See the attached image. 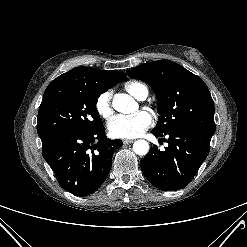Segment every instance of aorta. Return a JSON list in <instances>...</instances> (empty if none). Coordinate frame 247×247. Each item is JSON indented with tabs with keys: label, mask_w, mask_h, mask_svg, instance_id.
<instances>
[{
	"label": "aorta",
	"mask_w": 247,
	"mask_h": 247,
	"mask_svg": "<svg viewBox=\"0 0 247 247\" xmlns=\"http://www.w3.org/2000/svg\"><path fill=\"white\" fill-rule=\"evenodd\" d=\"M113 108L121 113L129 114L137 110V103L134 99L127 94L115 95L113 102ZM133 151L138 155H146L149 151V144L146 140H137L133 144Z\"/></svg>",
	"instance_id": "762f6f07"
}]
</instances>
